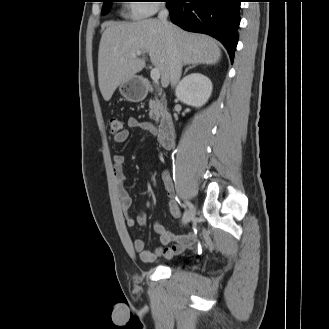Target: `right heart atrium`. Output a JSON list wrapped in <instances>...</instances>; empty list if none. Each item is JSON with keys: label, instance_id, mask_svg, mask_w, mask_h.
Instances as JSON below:
<instances>
[{"label": "right heart atrium", "instance_id": "1", "mask_svg": "<svg viewBox=\"0 0 329 329\" xmlns=\"http://www.w3.org/2000/svg\"><path fill=\"white\" fill-rule=\"evenodd\" d=\"M130 2L128 12L134 19L149 17L159 9L158 0H131Z\"/></svg>", "mask_w": 329, "mask_h": 329}]
</instances>
